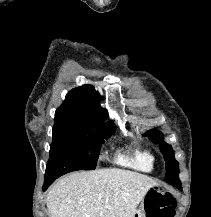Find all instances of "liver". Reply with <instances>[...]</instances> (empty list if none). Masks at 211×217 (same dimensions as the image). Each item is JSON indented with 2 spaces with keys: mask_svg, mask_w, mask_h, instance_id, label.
Masks as SVG:
<instances>
[{
  "mask_svg": "<svg viewBox=\"0 0 211 217\" xmlns=\"http://www.w3.org/2000/svg\"><path fill=\"white\" fill-rule=\"evenodd\" d=\"M157 185L145 174L118 168L75 172L49 191V217H133Z\"/></svg>",
  "mask_w": 211,
  "mask_h": 217,
  "instance_id": "6515ba94",
  "label": "liver"
}]
</instances>
